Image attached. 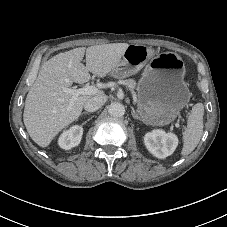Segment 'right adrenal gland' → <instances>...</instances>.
Wrapping results in <instances>:
<instances>
[{"instance_id": "2a0ac1e0", "label": "right adrenal gland", "mask_w": 227, "mask_h": 227, "mask_svg": "<svg viewBox=\"0 0 227 227\" xmlns=\"http://www.w3.org/2000/svg\"><path fill=\"white\" fill-rule=\"evenodd\" d=\"M90 113L88 112H83L82 115H89Z\"/></svg>"}]
</instances>
